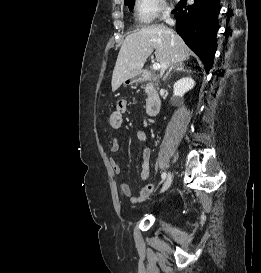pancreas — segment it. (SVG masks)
<instances>
[{
  "label": "pancreas",
  "instance_id": "pancreas-1",
  "mask_svg": "<svg viewBox=\"0 0 261 273\" xmlns=\"http://www.w3.org/2000/svg\"><path fill=\"white\" fill-rule=\"evenodd\" d=\"M152 88H153V85H152V84H148V85L145 87V92H146L147 94H149V93L151 92Z\"/></svg>",
  "mask_w": 261,
  "mask_h": 273
}]
</instances>
